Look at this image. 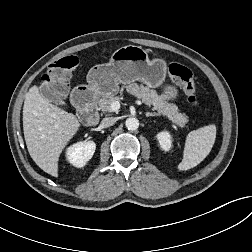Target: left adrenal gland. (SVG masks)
Wrapping results in <instances>:
<instances>
[{
  "instance_id": "obj_1",
  "label": "left adrenal gland",
  "mask_w": 252,
  "mask_h": 252,
  "mask_svg": "<svg viewBox=\"0 0 252 252\" xmlns=\"http://www.w3.org/2000/svg\"><path fill=\"white\" fill-rule=\"evenodd\" d=\"M158 114L157 113H146V117H157Z\"/></svg>"
}]
</instances>
